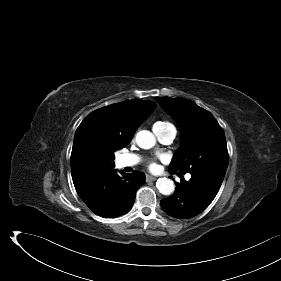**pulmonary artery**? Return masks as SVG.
I'll use <instances>...</instances> for the list:
<instances>
[{
  "mask_svg": "<svg viewBox=\"0 0 281 281\" xmlns=\"http://www.w3.org/2000/svg\"><path fill=\"white\" fill-rule=\"evenodd\" d=\"M153 130L158 140L163 144H170L175 139L176 129L174 126L165 129L153 128ZM138 162H139V157L136 155H124L120 158V164L122 167L134 166ZM190 178L191 175L187 174L186 179L189 180Z\"/></svg>",
  "mask_w": 281,
  "mask_h": 281,
  "instance_id": "e3ab8cb5",
  "label": "pulmonary artery"
}]
</instances>
